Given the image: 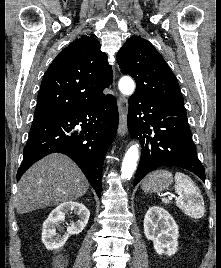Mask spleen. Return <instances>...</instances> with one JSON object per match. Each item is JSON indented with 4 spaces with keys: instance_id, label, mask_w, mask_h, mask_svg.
<instances>
[{
    "instance_id": "obj_1",
    "label": "spleen",
    "mask_w": 221,
    "mask_h": 268,
    "mask_svg": "<svg viewBox=\"0 0 221 268\" xmlns=\"http://www.w3.org/2000/svg\"><path fill=\"white\" fill-rule=\"evenodd\" d=\"M175 182V192L179 195L176 206L192 218L203 217L205 213L204 200L193 180L184 173L177 172ZM162 202L169 203L170 200L162 198Z\"/></svg>"
}]
</instances>
